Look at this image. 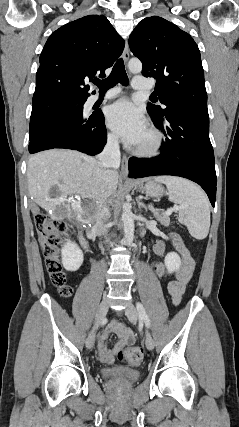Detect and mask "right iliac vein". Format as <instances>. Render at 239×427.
Masks as SVG:
<instances>
[{"mask_svg": "<svg viewBox=\"0 0 239 427\" xmlns=\"http://www.w3.org/2000/svg\"><path fill=\"white\" fill-rule=\"evenodd\" d=\"M107 312H108V301L104 299L98 307L96 318H95V326H98V324H100L104 320ZM95 336H96V330L94 328L86 339V347L88 349L93 348L95 343Z\"/></svg>", "mask_w": 239, "mask_h": 427, "instance_id": "right-iliac-vein-1", "label": "right iliac vein"}]
</instances>
